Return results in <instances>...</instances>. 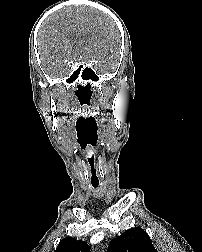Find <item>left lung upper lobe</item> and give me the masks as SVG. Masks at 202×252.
Returning a JSON list of instances; mask_svg holds the SVG:
<instances>
[{
	"label": "left lung upper lobe",
	"mask_w": 202,
	"mask_h": 252,
	"mask_svg": "<svg viewBox=\"0 0 202 252\" xmlns=\"http://www.w3.org/2000/svg\"><path fill=\"white\" fill-rule=\"evenodd\" d=\"M108 252H157L148 234L139 227L126 230L114 238Z\"/></svg>",
	"instance_id": "obj_1"
}]
</instances>
